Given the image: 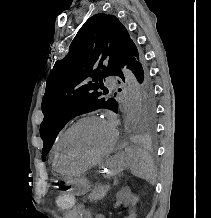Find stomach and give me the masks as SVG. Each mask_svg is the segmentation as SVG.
Wrapping results in <instances>:
<instances>
[{
    "label": "stomach",
    "mask_w": 211,
    "mask_h": 218,
    "mask_svg": "<svg viewBox=\"0 0 211 218\" xmlns=\"http://www.w3.org/2000/svg\"><path fill=\"white\" fill-rule=\"evenodd\" d=\"M128 165V156L125 153H118L106 161L103 173L107 177H112L122 172ZM66 183L71 186V192L75 195H84L91 187L88 180L83 177L68 178Z\"/></svg>",
    "instance_id": "0dacf381"
}]
</instances>
